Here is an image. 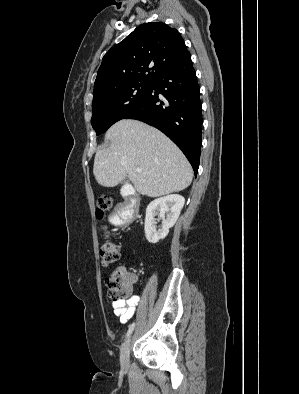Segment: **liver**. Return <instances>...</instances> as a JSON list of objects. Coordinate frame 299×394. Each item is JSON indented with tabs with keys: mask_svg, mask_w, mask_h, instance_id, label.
<instances>
[{
	"mask_svg": "<svg viewBox=\"0 0 299 394\" xmlns=\"http://www.w3.org/2000/svg\"><path fill=\"white\" fill-rule=\"evenodd\" d=\"M110 141L98 150L93 174L98 184L114 187L127 176L136 191L159 197L187 188L193 171L181 150L161 131L141 121L123 119L105 135ZM137 168L142 172L138 173Z\"/></svg>",
	"mask_w": 299,
	"mask_h": 394,
	"instance_id": "liver-1",
	"label": "liver"
}]
</instances>
